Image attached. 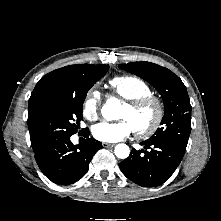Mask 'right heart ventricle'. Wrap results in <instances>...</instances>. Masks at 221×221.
<instances>
[{
  "mask_svg": "<svg viewBox=\"0 0 221 221\" xmlns=\"http://www.w3.org/2000/svg\"><path fill=\"white\" fill-rule=\"evenodd\" d=\"M109 88L119 97L133 101L152 93L151 87L141 78L132 75L113 77Z\"/></svg>",
  "mask_w": 221,
  "mask_h": 221,
  "instance_id": "e07e8e85",
  "label": "right heart ventricle"
}]
</instances>
